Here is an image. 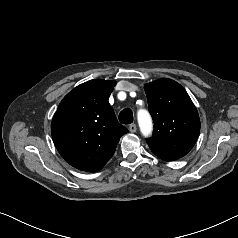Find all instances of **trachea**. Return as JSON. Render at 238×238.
<instances>
[{
	"mask_svg": "<svg viewBox=\"0 0 238 238\" xmlns=\"http://www.w3.org/2000/svg\"><path fill=\"white\" fill-rule=\"evenodd\" d=\"M119 121L122 124H130L133 122V113L129 108L123 109L119 114Z\"/></svg>",
	"mask_w": 238,
	"mask_h": 238,
	"instance_id": "3493384b",
	"label": "trachea"
}]
</instances>
